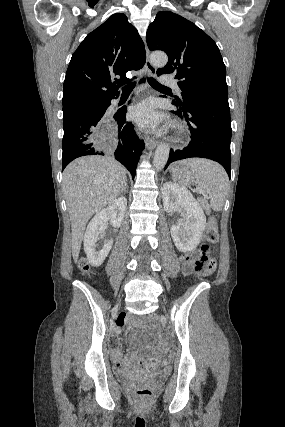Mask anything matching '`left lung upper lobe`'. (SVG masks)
<instances>
[{
  "instance_id": "obj_1",
  "label": "left lung upper lobe",
  "mask_w": 285,
  "mask_h": 427,
  "mask_svg": "<svg viewBox=\"0 0 285 427\" xmlns=\"http://www.w3.org/2000/svg\"><path fill=\"white\" fill-rule=\"evenodd\" d=\"M149 50H162L168 63L160 73L174 74L184 101L211 98L228 103L226 68L216 43L194 23L170 11L158 12L149 25Z\"/></svg>"
}]
</instances>
